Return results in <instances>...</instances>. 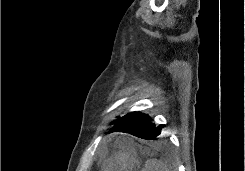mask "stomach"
<instances>
[{
    "instance_id": "stomach-1",
    "label": "stomach",
    "mask_w": 245,
    "mask_h": 171,
    "mask_svg": "<svg viewBox=\"0 0 245 171\" xmlns=\"http://www.w3.org/2000/svg\"><path fill=\"white\" fill-rule=\"evenodd\" d=\"M113 147V151L106 149L100 156L101 171H132L139 166L137 152L141 147L132 139L119 137Z\"/></svg>"
}]
</instances>
